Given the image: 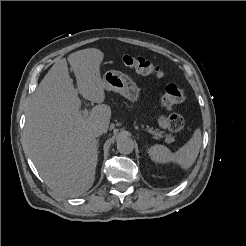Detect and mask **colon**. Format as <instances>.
I'll list each match as a JSON object with an SVG mask.
<instances>
[{
  "mask_svg": "<svg viewBox=\"0 0 246 246\" xmlns=\"http://www.w3.org/2000/svg\"><path fill=\"white\" fill-rule=\"evenodd\" d=\"M125 66L133 69L138 74L148 76L154 75L158 78L164 76V72L151 61L133 55H125L122 58ZM185 99L184 91L176 84H168L161 92L159 103L164 109H171L173 106L183 102ZM158 124L173 132H178L184 129L185 119L179 114L159 115L157 118Z\"/></svg>",
  "mask_w": 246,
  "mask_h": 246,
  "instance_id": "obj_1",
  "label": "colon"
}]
</instances>
